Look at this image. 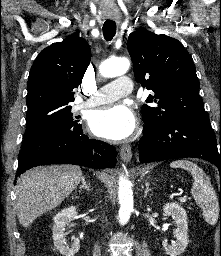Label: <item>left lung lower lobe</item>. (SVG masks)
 I'll use <instances>...</instances> for the list:
<instances>
[{
    "label": "left lung lower lobe",
    "instance_id": "left-lung-lower-lobe-1",
    "mask_svg": "<svg viewBox=\"0 0 221 256\" xmlns=\"http://www.w3.org/2000/svg\"><path fill=\"white\" fill-rule=\"evenodd\" d=\"M143 135L138 146L141 163L201 158L218 167L221 175V149L219 153L209 115L180 118L160 127L145 124Z\"/></svg>",
    "mask_w": 221,
    "mask_h": 256
}]
</instances>
